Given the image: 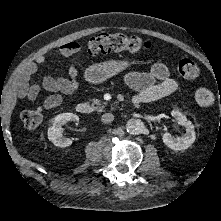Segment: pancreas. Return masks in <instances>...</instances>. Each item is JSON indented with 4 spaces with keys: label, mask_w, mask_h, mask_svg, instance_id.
I'll list each match as a JSON object with an SVG mask.
<instances>
[{
    "label": "pancreas",
    "mask_w": 221,
    "mask_h": 221,
    "mask_svg": "<svg viewBox=\"0 0 221 221\" xmlns=\"http://www.w3.org/2000/svg\"><path fill=\"white\" fill-rule=\"evenodd\" d=\"M92 105H93L92 110L97 112H102L103 109L105 108L102 102L98 99H93Z\"/></svg>",
    "instance_id": "1"
}]
</instances>
